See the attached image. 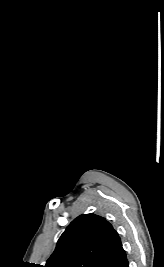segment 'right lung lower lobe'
<instances>
[{"label":"right lung lower lobe","instance_id":"1","mask_svg":"<svg viewBox=\"0 0 164 267\" xmlns=\"http://www.w3.org/2000/svg\"><path fill=\"white\" fill-rule=\"evenodd\" d=\"M99 267H129L123 248L105 260Z\"/></svg>","mask_w":164,"mask_h":267}]
</instances>
